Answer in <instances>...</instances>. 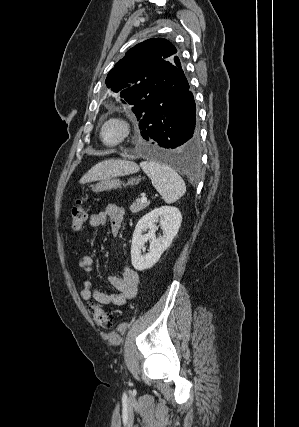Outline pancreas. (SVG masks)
<instances>
[{"label":"pancreas","instance_id":"pancreas-1","mask_svg":"<svg viewBox=\"0 0 299 427\" xmlns=\"http://www.w3.org/2000/svg\"><path fill=\"white\" fill-rule=\"evenodd\" d=\"M148 205V202H142L141 199H136L135 202H133L130 206V210L132 213H138L145 209Z\"/></svg>","mask_w":299,"mask_h":427}]
</instances>
